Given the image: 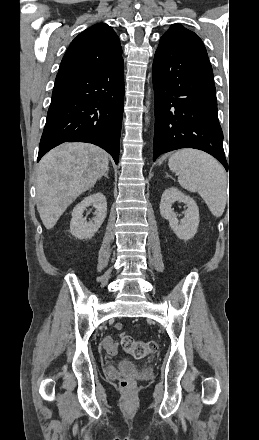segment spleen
Instances as JSON below:
<instances>
[{
	"instance_id": "3e777b00",
	"label": "spleen",
	"mask_w": 259,
	"mask_h": 440,
	"mask_svg": "<svg viewBox=\"0 0 259 440\" xmlns=\"http://www.w3.org/2000/svg\"><path fill=\"white\" fill-rule=\"evenodd\" d=\"M168 165L179 174V184L190 192H198L214 216L223 214L227 176L216 159L202 151L181 149L170 156Z\"/></svg>"
}]
</instances>
